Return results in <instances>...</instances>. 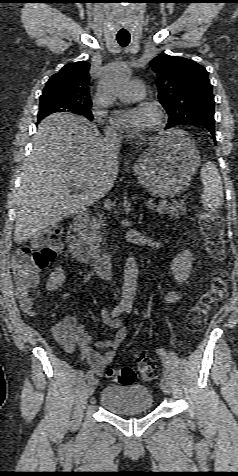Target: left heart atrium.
<instances>
[{
	"label": "left heart atrium",
	"mask_w": 238,
	"mask_h": 476,
	"mask_svg": "<svg viewBox=\"0 0 238 476\" xmlns=\"http://www.w3.org/2000/svg\"><path fill=\"white\" fill-rule=\"evenodd\" d=\"M151 113L153 112L149 107L139 106L116 113L112 122L121 131L139 136L153 125H150Z\"/></svg>",
	"instance_id": "1"
}]
</instances>
